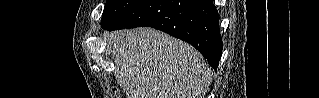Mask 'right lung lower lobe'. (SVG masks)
Returning <instances> with one entry per match:
<instances>
[{"instance_id": "right-lung-lower-lobe-1", "label": "right lung lower lobe", "mask_w": 319, "mask_h": 98, "mask_svg": "<svg viewBox=\"0 0 319 98\" xmlns=\"http://www.w3.org/2000/svg\"><path fill=\"white\" fill-rule=\"evenodd\" d=\"M148 26L193 45L217 69L222 55L219 14L212 0H148L109 31Z\"/></svg>"}]
</instances>
